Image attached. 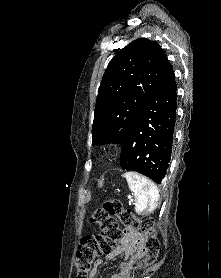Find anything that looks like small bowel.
<instances>
[{"label":"small bowel","mask_w":221,"mask_h":278,"mask_svg":"<svg viewBox=\"0 0 221 278\" xmlns=\"http://www.w3.org/2000/svg\"><path fill=\"white\" fill-rule=\"evenodd\" d=\"M121 254H125L126 261L121 263L119 272L110 278H133L130 272V266L136 259L144 256L143 236L141 233L129 227L124 228L123 237L113 250L105 254L103 258L96 260L90 272V278H96L98 276L99 269L104 260L114 259Z\"/></svg>","instance_id":"1"}]
</instances>
